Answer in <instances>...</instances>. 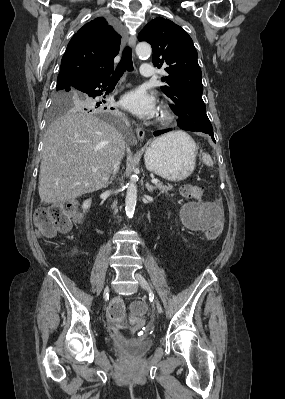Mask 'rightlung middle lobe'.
<instances>
[{"label":"right lung middle lobe","mask_w":285,"mask_h":399,"mask_svg":"<svg viewBox=\"0 0 285 399\" xmlns=\"http://www.w3.org/2000/svg\"><path fill=\"white\" fill-rule=\"evenodd\" d=\"M95 98L75 88L57 87V92L54 97L53 107L51 111L50 123L59 114L73 109L80 111L96 110L98 112H107L108 109L104 107L101 103L96 102Z\"/></svg>","instance_id":"1"}]
</instances>
